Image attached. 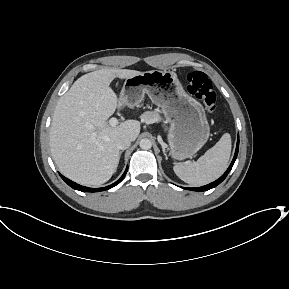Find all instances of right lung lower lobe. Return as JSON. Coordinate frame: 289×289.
<instances>
[{
	"label": "right lung lower lobe",
	"instance_id": "98d812e1",
	"mask_svg": "<svg viewBox=\"0 0 289 289\" xmlns=\"http://www.w3.org/2000/svg\"><path fill=\"white\" fill-rule=\"evenodd\" d=\"M127 170H128V167L126 168V170H125L124 174L121 176V178L119 180H117L115 183H113L112 185L106 186V187H102V188L84 187V186H81L79 184H76L75 182H72L71 180H69L66 177H64L63 175H61L60 173H59V175L73 189H76V190H79V191H82V192H98V191L108 190L110 188H113L117 184H119L123 180V178L125 177V175L127 173Z\"/></svg>",
	"mask_w": 289,
	"mask_h": 289
}]
</instances>
